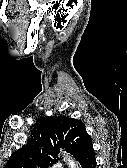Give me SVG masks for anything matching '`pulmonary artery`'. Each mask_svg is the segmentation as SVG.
I'll return each instance as SVG.
<instances>
[{"label":"pulmonary artery","instance_id":"pulmonary-artery-1","mask_svg":"<svg viewBox=\"0 0 127 168\" xmlns=\"http://www.w3.org/2000/svg\"><path fill=\"white\" fill-rule=\"evenodd\" d=\"M53 168H61V166L60 165H55V166H53Z\"/></svg>","mask_w":127,"mask_h":168}]
</instances>
